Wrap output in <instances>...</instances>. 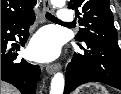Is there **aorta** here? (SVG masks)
<instances>
[{
  "label": "aorta",
  "mask_w": 121,
  "mask_h": 94,
  "mask_svg": "<svg viewBox=\"0 0 121 94\" xmlns=\"http://www.w3.org/2000/svg\"><path fill=\"white\" fill-rule=\"evenodd\" d=\"M65 2V0H51L52 5L59 8L64 7ZM64 84L63 74L60 72L56 73L51 81L50 94H63Z\"/></svg>",
  "instance_id": "1"
}]
</instances>
